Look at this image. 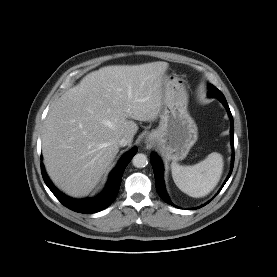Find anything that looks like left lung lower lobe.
Instances as JSON below:
<instances>
[{
    "label": "left lung lower lobe",
    "mask_w": 277,
    "mask_h": 277,
    "mask_svg": "<svg viewBox=\"0 0 277 277\" xmlns=\"http://www.w3.org/2000/svg\"><path fill=\"white\" fill-rule=\"evenodd\" d=\"M223 103V105L225 106L227 112H228V115H229V118H230V121H231V129H230V132H231V144H232V149H233V154H232V166H231V171L228 175V177L226 178L225 180V183L227 182V180L229 179L231 173H232V169H233V165H234V142H233V138H234V122H233V117H232V114H231V111L229 109V106L227 104V101L224 100V101H221ZM150 161H151V164L153 166V171H154V175H155V182H156V190L159 194V196L162 198L163 201H165L166 203L172 205V206H175L169 199L168 197V194L165 190V185H164V179H163V164H162V161L160 160L159 156L156 154V153H152L150 155ZM224 183V184H225ZM221 190V189H220ZM210 201H208L207 203H209ZM206 203V204H207ZM204 204V205H206ZM204 205L200 206V207H203ZM176 207V206H175ZM199 207V208H200Z\"/></svg>",
    "instance_id": "1"
}]
</instances>
